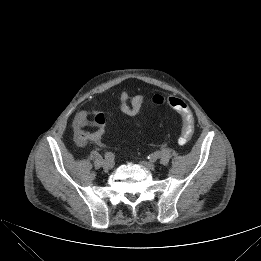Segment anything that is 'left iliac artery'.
Returning a JSON list of instances; mask_svg holds the SVG:
<instances>
[{
    "instance_id": "44dca946",
    "label": "left iliac artery",
    "mask_w": 261,
    "mask_h": 261,
    "mask_svg": "<svg viewBox=\"0 0 261 261\" xmlns=\"http://www.w3.org/2000/svg\"><path fill=\"white\" fill-rule=\"evenodd\" d=\"M161 157H162V153L160 151H157L154 154L149 155L148 159L154 161V160L160 159Z\"/></svg>"
}]
</instances>
